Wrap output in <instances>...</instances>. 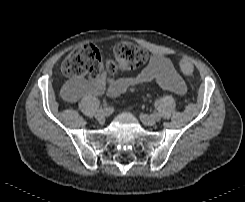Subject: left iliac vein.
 Here are the masks:
<instances>
[{"label":"left iliac vein","instance_id":"4c4485c4","mask_svg":"<svg viewBox=\"0 0 245 202\" xmlns=\"http://www.w3.org/2000/svg\"><path fill=\"white\" fill-rule=\"evenodd\" d=\"M140 120L146 126H154L156 124V119L146 114H140Z\"/></svg>","mask_w":245,"mask_h":202}]
</instances>
